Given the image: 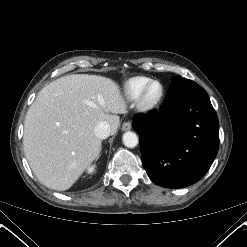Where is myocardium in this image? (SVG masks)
Masks as SVG:
<instances>
[{
	"instance_id": "1",
	"label": "myocardium",
	"mask_w": 247,
	"mask_h": 247,
	"mask_svg": "<svg viewBox=\"0 0 247 247\" xmlns=\"http://www.w3.org/2000/svg\"><path fill=\"white\" fill-rule=\"evenodd\" d=\"M153 85L159 86V93L155 98L149 99L148 92ZM163 95H164L163 85L157 80H152L141 90L140 94L138 95L136 99V107L141 112L151 111L158 106V104L161 102L163 98Z\"/></svg>"
}]
</instances>
